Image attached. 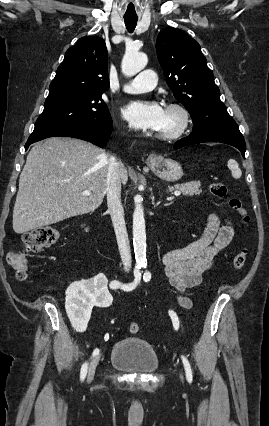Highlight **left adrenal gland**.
I'll list each match as a JSON object with an SVG mask.
<instances>
[{
    "instance_id": "a2214340",
    "label": "left adrenal gland",
    "mask_w": 269,
    "mask_h": 426,
    "mask_svg": "<svg viewBox=\"0 0 269 426\" xmlns=\"http://www.w3.org/2000/svg\"><path fill=\"white\" fill-rule=\"evenodd\" d=\"M171 203H172V202H170V203H167V204H165V205L167 206V205H170Z\"/></svg>"
}]
</instances>
